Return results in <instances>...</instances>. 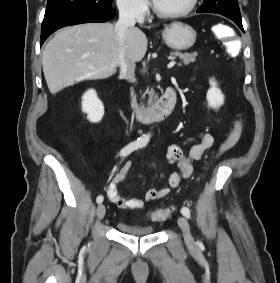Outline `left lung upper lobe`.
<instances>
[{
	"instance_id": "1",
	"label": "left lung upper lobe",
	"mask_w": 280,
	"mask_h": 283,
	"mask_svg": "<svg viewBox=\"0 0 280 283\" xmlns=\"http://www.w3.org/2000/svg\"><path fill=\"white\" fill-rule=\"evenodd\" d=\"M198 12L218 13L228 18H241L237 0H204Z\"/></svg>"
}]
</instances>
